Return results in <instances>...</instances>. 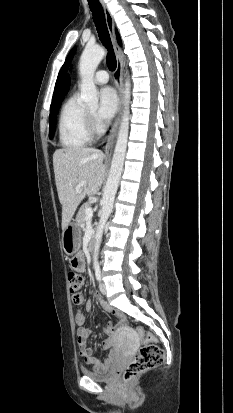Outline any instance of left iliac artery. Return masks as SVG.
<instances>
[{
	"instance_id": "obj_1",
	"label": "left iliac artery",
	"mask_w": 233,
	"mask_h": 413,
	"mask_svg": "<svg viewBox=\"0 0 233 413\" xmlns=\"http://www.w3.org/2000/svg\"><path fill=\"white\" fill-rule=\"evenodd\" d=\"M94 269H95L96 279H97L98 281H100V280H101V270H100V266L97 264V265L94 266Z\"/></svg>"
}]
</instances>
